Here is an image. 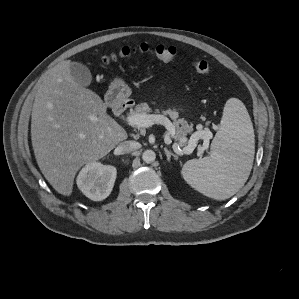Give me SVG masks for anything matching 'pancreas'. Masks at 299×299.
Segmentation results:
<instances>
[{
	"mask_svg": "<svg viewBox=\"0 0 299 299\" xmlns=\"http://www.w3.org/2000/svg\"><path fill=\"white\" fill-rule=\"evenodd\" d=\"M152 109L149 107L147 103H140L136 105L134 110H131L129 115H136V114H148L151 112ZM156 113H159L160 110L156 109ZM161 113L163 115H168L173 120V125L175 128V134L173 135V138L178 141L179 146H185L186 144H190L191 140L187 141L186 136L193 131V127L191 124H189L184 118H179V112L176 109H167V110H161ZM142 133V130H140ZM202 136H199L197 138H201ZM196 142V140H195Z\"/></svg>",
	"mask_w": 299,
	"mask_h": 299,
	"instance_id": "cf45deb5",
	"label": "pancreas"
}]
</instances>
